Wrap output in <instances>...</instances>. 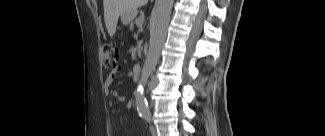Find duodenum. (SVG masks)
<instances>
[{
	"instance_id": "1",
	"label": "duodenum",
	"mask_w": 325,
	"mask_h": 136,
	"mask_svg": "<svg viewBox=\"0 0 325 136\" xmlns=\"http://www.w3.org/2000/svg\"><path fill=\"white\" fill-rule=\"evenodd\" d=\"M140 72H141V65H140V64H136V65H134V67H133V69H132V74H133V76H134V77L139 76Z\"/></svg>"
}]
</instances>
